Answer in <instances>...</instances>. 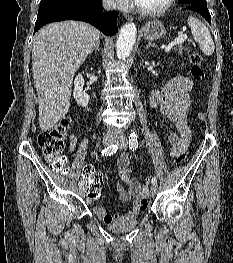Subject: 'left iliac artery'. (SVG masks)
I'll return each instance as SVG.
<instances>
[{
  "label": "left iliac artery",
  "instance_id": "44dca946",
  "mask_svg": "<svg viewBox=\"0 0 233 263\" xmlns=\"http://www.w3.org/2000/svg\"><path fill=\"white\" fill-rule=\"evenodd\" d=\"M138 147V140H137V135L135 132H132L129 136V148L134 151ZM152 184L156 185L157 184V178L153 177L152 178Z\"/></svg>",
  "mask_w": 233,
  "mask_h": 263
}]
</instances>
